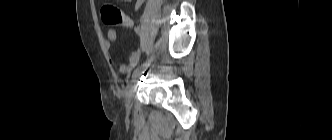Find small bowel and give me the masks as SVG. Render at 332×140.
<instances>
[{"instance_id":"obj_1","label":"small bowel","mask_w":332,"mask_h":140,"mask_svg":"<svg viewBox=\"0 0 332 140\" xmlns=\"http://www.w3.org/2000/svg\"><path fill=\"white\" fill-rule=\"evenodd\" d=\"M121 2H132L133 0H120ZM145 0H134V9H139ZM117 33L114 29H109L106 33V40L104 42L105 47L109 49L111 45L116 41ZM141 57V53L139 50H135L132 52L131 56L129 57L127 64H121L118 68V71L121 74H128L130 73L133 68L139 63Z\"/></svg>"}]
</instances>
